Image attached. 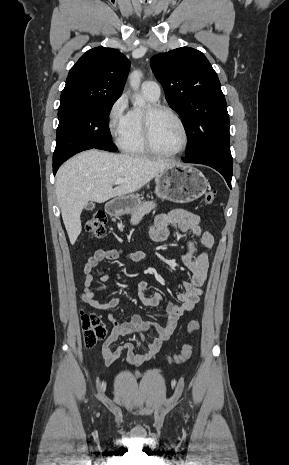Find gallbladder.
Wrapping results in <instances>:
<instances>
[{"mask_svg":"<svg viewBox=\"0 0 289 465\" xmlns=\"http://www.w3.org/2000/svg\"><path fill=\"white\" fill-rule=\"evenodd\" d=\"M85 208H86V210H92L94 208V203L93 202L87 203Z\"/></svg>","mask_w":289,"mask_h":465,"instance_id":"gallbladder-1","label":"gallbladder"}]
</instances>
